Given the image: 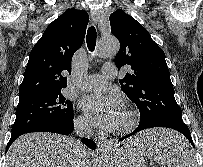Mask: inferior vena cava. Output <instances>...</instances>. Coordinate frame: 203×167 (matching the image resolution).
I'll list each match as a JSON object with an SVG mask.
<instances>
[{
	"mask_svg": "<svg viewBox=\"0 0 203 167\" xmlns=\"http://www.w3.org/2000/svg\"><path fill=\"white\" fill-rule=\"evenodd\" d=\"M75 132L77 135L81 137H90L92 135L91 125L84 120H77L75 122ZM77 145H78L79 157L82 158V164H84V161H83L84 152H85L84 148L80 142H78Z\"/></svg>",
	"mask_w": 203,
	"mask_h": 167,
	"instance_id": "602c4592",
	"label": "inferior vena cava"
}]
</instances>
